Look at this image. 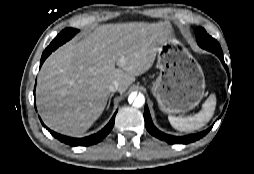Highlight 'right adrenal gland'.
<instances>
[{
	"instance_id": "right-adrenal-gland-1",
	"label": "right adrenal gland",
	"mask_w": 254,
	"mask_h": 174,
	"mask_svg": "<svg viewBox=\"0 0 254 174\" xmlns=\"http://www.w3.org/2000/svg\"><path fill=\"white\" fill-rule=\"evenodd\" d=\"M112 96H113V94H111L110 97H109V101H108V105H107V108H106V109H108L109 106H110Z\"/></svg>"
}]
</instances>
